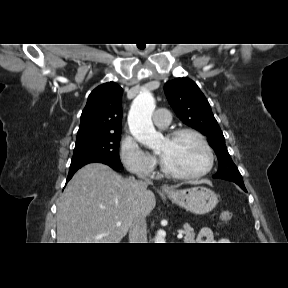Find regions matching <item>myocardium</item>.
<instances>
[{
	"label": "myocardium",
	"instance_id": "myocardium-1",
	"mask_svg": "<svg viewBox=\"0 0 288 288\" xmlns=\"http://www.w3.org/2000/svg\"><path fill=\"white\" fill-rule=\"evenodd\" d=\"M184 135H191V136L195 137L201 143V145L204 147V149L207 153V156H208V164H207L206 168L200 172H197V173H192V174L181 173V172H177V171L169 168L161 160L162 172L167 176H170V177H173L176 179H182V180H192V179H199L201 177H204L205 175L209 174L214 167V163H215L214 151H213L211 145L209 144V142L207 141V139L205 138V136L202 133H200L199 131L192 129V128L176 129V130L168 133L166 138L168 140L173 141V140H176L177 138L184 136Z\"/></svg>",
	"mask_w": 288,
	"mask_h": 288
}]
</instances>
